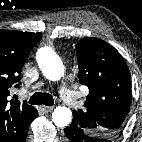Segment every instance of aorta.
Segmentation results:
<instances>
[{
	"label": "aorta",
	"instance_id": "obj_1",
	"mask_svg": "<svg viewBox=\"0 0 142 142\" xmlns=\"http://www.w3.org/2000/svg\"><path fill=\"white\" fill-rule=\"evenodd\" d=\"M36 59L43 75L51 80L58 81L64 75V65L60 57L51 47L40 48ZM72 119V111L65 106H57L52 113L53 123L57 127L67 126Z\"/></svg>",
	"mask_w": 142,
	"mask_h": 142
}]
</instances>
